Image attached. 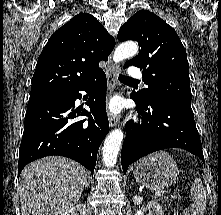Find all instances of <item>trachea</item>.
<instances>
[{"mask_svg": "<svg viewBox=\"0 0 221 215\" xmlns=\"http://www.w3.org/2000/svg\"><path fill=\"white\" fill-rule=\"evenodd\" d=\"M119 79L122 80V81H131V82H135L136 80L132 79V78H129L127 76H124L122 74L119 75Z\"/></svg>", "mask_w": 221, "mask_h": 215, "instance_id": "trachea-1", "label": "trachea"}]
</instances>
